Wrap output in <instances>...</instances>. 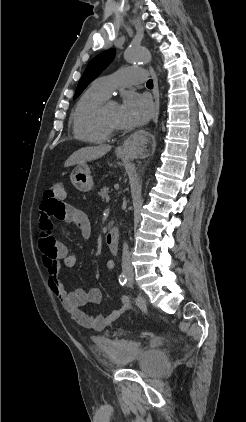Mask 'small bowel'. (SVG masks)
I'll return each instance as SVG.
<instances>
[{
	"label": "small bowel",
	"instance_id": "small-bowel-1",
	"mask_svg": "<svg viewBox=\"0 0 246 422\" xmlns=\"http://www.w3.org/2000/svg\"><path fill=\"white\" fill-rule=\"evenodd\" d=\"M40 209L39 244L51 291L77 324L94 331H102L129 308L128 297L123 295L121 297L122 307L107 316L102 314L90 315L82 308L90 304H100L103 300L102 290L91 286L87 289L78 288L68 291L64 288L59 277V262L62 260L67 267L72 268L77 263V257L69 252L65 244L55 238V221H65L76 226L83 237L88 238L91 233V223L88 217L79 208L64 203L57 209L50 210L43 202ZM106 267L108 270H113V261L108 260Z\"/></svg>",
	"mask_w": 246,
	"mask_h": 422
}]
</instances>
